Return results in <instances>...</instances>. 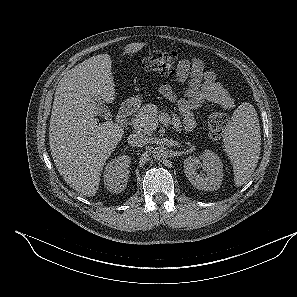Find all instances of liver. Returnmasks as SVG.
Masks as SVG:
<instances>
[{"instance_id":"6515ba94","label":"liver","mask_w":297,"mask_h":297,"mask_svg":"<svg viewBox=\"0 0 297 297\" xmlns=\"http://www.w3.org/2000/svg\"><path fill=\"white\" fill-rule=\"evenodd\" d=\"M144 46L127 44L124 53L135 54ZM96 99L115 100L108 54L86 59L64 75L50 119L49 145L55 166L70 187L88 197L96 194L104 164L124 134L117 123H99Z\"/></svg>"}]
</instances>
